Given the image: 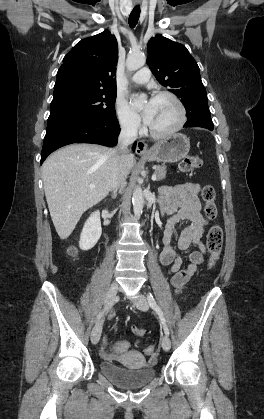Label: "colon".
Returning a JSON list of instances; mask_svg holds the SVG:
<instances>
[{"label":"colon","instance_id":"colon-1","mask_svg":"<svg viewBox=\"0 0 264 419\" xmlns=\"http://www.w3.org/2000/svg\"><path fill=\"white\" fill-rule=\"evenodd\" d=\"M201 160L198 156H187L178 163V171L181 173H192L195 169L199 168ZM202 198L205 202V214L206 216L214 220L217 216V209L215 206V191L212 186L206 185L202 189ZM223 245V231L218 224H214L210 227L206 237V247L209 252L208 267L211 269L215 266ZM70 253L74 255L76 253L74 248L70 249ZM145 353L149 357H155L157 354L156 348L152 345L145 349Z\"/></svg>","mask_w":264,"mask_h":419}]
</instances>
